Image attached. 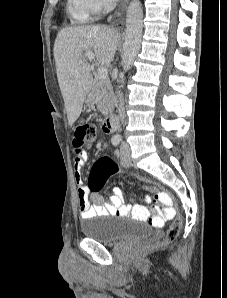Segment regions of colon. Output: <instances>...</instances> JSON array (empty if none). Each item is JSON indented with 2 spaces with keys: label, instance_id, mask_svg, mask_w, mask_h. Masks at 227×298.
Here are the masks:
<instances>
[{
  "label": "colon",
  "instance_id": "1",
  "mask_svg": "<svg viewBox=\"0 0 227 298\" xmlns=\"http://www.w3.org/2000/svg\"><path fill=\"white\" fill-rule=\"evenodd\" d=\"M96 137L97 128L94 124L85 123L79 125L74 130L73 146H82L83 142H90L92 145ZM90 147H83V150H88ZM116 171L117 168L111 159L105 157L96 161L90 171L88 179V186L90 190L94 192L100 191L107 182L108 178ZM143 190H149L155 193L153 204L155 214L149 218L150 223L156 227H161L166 219L171 220L164 238L158 243L148 246V248L166 245L173 242L180 234L183 219L182 216L172 207V198L168 193L161 191L160 185L154 181L146 182V185H143Z\"/></svg>",
  "mask_w": 227,
  "mask_h": 298
}]
</instances>
